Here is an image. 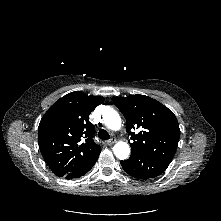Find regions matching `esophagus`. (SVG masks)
I'll use <instances>...</instances> for the list:
<instances>
[{"instance_id":"1","label":"esophagus","mask_w":221,"mask_h":221,"mask_svg":"<svg viewBox=\"0 0 221 221\" xmlns=\"http://www.w3.org/2000/svg\"><path fill=\"white\" fill-rule=\"evenodd\" d=\"M115 142H116L115 139H111V140H108V141L106 142V144L109 145V146H111V145H113Z\"/></svg>"}]
</instances>
